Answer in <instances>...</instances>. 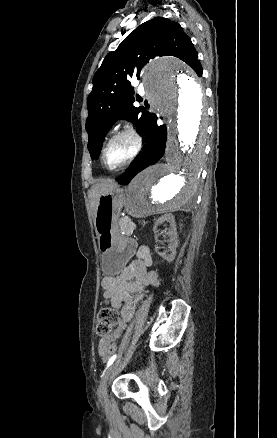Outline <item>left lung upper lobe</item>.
Here are the masks:
<instances>
[{"instance_id": "obj_1", "label": "left lung upper lobe", "mask_w": 277, "mask_h": 438, "mask_svg": "<svg viewBox=\"0 0 277 438\" xmlns=\"http://www.w3.org/2000/svg\"><path fill=\"white\" fill-rule=\"evenodd\" d=\"M171 55L186 62L198 76L202 66L191 39L174 21L155 17L141 24L126 37L118 48L106 55L93 77V89L88 96V150L92 158L100 154L102 142L112 123L124 118L147 134L152 113L135 107L130 79H140V72L150 59Z\"/></svg>"}]
</instances>
